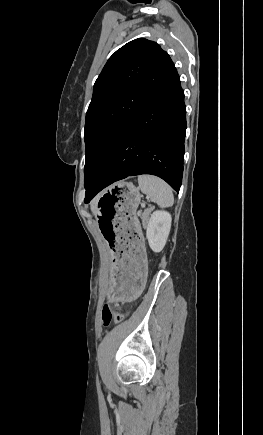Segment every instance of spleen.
<instances>
[{
	"label": "spleen",
	"mask_w": 263,
	"mask_h": 435,
	"mask_svg": "<svg viewBox=\"0 0 263 435\" xmlns=\"http://www.w3.org/2000/svg\"><path fill=\"white\" fill-rule=\"evenodd\" d=\"M138 184L141 191L159 207L172 206L174 202L172 189L161 178L152 175H140Z\"/></svg>",
	"instance_id": "obj_1"
}]
</instances>
